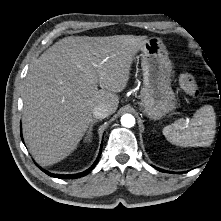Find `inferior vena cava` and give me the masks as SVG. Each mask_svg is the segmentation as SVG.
<instances>
[{"label": "inferior vena cava", "instance_id": "1", "mask_svg": "<svg viewBox=\"0 0 221 221\" xmlns=\"http://www.w3.org/2000/svg\"><path fill=\"white\" fill-rule=\"evenodd\" d=\"M110 111L105 104H99L93 109V117L96 119H104L109 116Z\"/></svg>", "mask_w": 221, "mask_h": 221}]
</instances>
